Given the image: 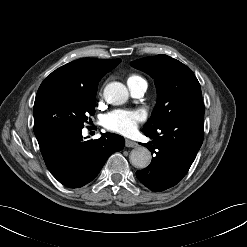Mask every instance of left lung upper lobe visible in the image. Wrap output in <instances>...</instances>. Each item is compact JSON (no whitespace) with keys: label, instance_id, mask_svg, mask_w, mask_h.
I'll use <instances>...</instances> for the list:
<instances>
[{"label":"left lung upper lobe","instance_id":"1","mask_svg":"<svg viewBox=\"0 0 247 247\" xmlns=\"http://www.w3.org/2000/svg\"><path fill=\"white\" fill-rule=\"evenodd\" d=\"M131 66L155 78L158 92L157 105L143 131H154L178 118L204 119L200 84L186 65L167 55H157L132 61Z\"/></svg>","mask_w":247,"mask_h":247}]
</instances>
